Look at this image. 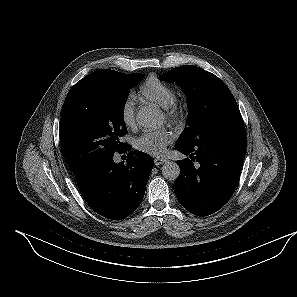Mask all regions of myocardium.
Instances as JSON below:
<instances>
[{
	"instance_id": "1",
	"label": "myocardium",
	"mask_w": 297,
	"mask_h": 297,
	"mask_svg": "<svg viewBox=\"0 0 297 297\" xmlns=\"http://www.w3.org/2000/svg\"><path fill=\"white\" fill-rule=\"evenodd\" d=\"M166 115L171 118L175 119L179 116L180 114V108L175 100L169 107L165 108Z\"/></svg>"
}]
</instances>
